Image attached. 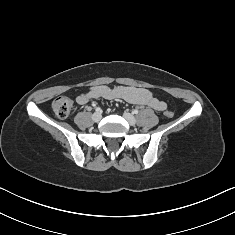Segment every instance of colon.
<instances>
[{
  "mask_svg": "<svg viewBox=\"0 0 235 235\" xmlns=\"http://www.w3.org/2000/svg\"><path fill=\"white\" fill-rule=\"evenodd\" d=\"M72 106H73L72 101L65 96L57 97L52 103L53 111L56 114V116L59 118L68 117L71 110H72ZM173 115L174 114L172 111L165 112V116L167 118H171V117H173Z\"/></svg>",
  "mask_w": 235,
  "mask_h": 235,
  "instance_id": "5ec220e1",
  "label": "colon"
}]
</instances>
